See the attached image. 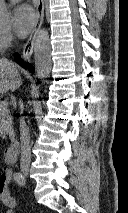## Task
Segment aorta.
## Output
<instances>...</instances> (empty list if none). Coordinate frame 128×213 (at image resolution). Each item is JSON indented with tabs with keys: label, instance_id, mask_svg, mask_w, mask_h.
<instances>
[{
	"label": "aorta",
	"instance_id": "aorta-1",
	"mask_svg": "<svg viewBox=\"0 0 128 213\" xmlns=\"http://www.w3.org/2000/svg\"><path fill=\"white\" fill-rule=\"evenodd\" d=\"M9 23V12L4 0H0V27ZM35 71L38 78H47L52 69L51 45L48 31L40 30L34 43Z\"/></svg>",
	"mask_w": 128,
	"mask_h": 213
}]
</instances>
